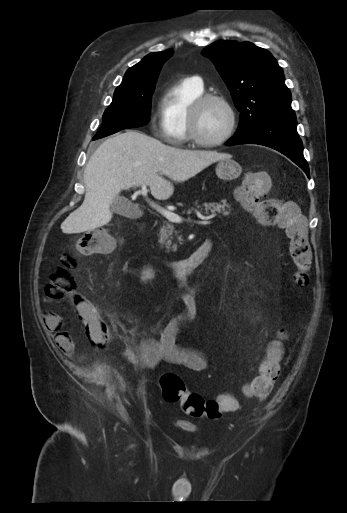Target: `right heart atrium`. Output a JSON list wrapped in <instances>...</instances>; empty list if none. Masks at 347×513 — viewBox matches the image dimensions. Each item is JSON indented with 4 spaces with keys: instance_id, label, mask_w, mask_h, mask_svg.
<instances>
[{
    "instance_id": "1",
    "label": "right heart atrium",
    "mask_w": 347,
    "mask_h": 513,
    "mask_svg": "<svg viewBox=\"0 0 347 513\" xmlns=\"http://www.w3.org/2000/svg\"><path fill=\"white\" fill-rule=\"evenodd\" d=\"M160 127H161V131H162V133H163V126H162V122H161V124H160ZM163 134H164V133H163Z\"/></svg>"
}]
</instances>
